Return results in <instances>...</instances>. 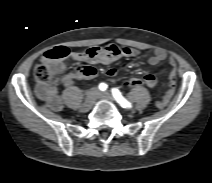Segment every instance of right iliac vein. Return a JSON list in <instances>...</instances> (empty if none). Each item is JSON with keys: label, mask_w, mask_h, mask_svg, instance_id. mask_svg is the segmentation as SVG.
<instances>
[{"label": "right iliac vein", "mask_w": 212, "mask_h": 183, "mask_svg": "<svg viewBox=\"0 0 212 183\" xmlns=\"http://www.w3.org/2000/svg\"><path fill=\"white\" fill-rule=\"evenodd\" d=\"M99 97V91L97 89H91L86 95V98L81 106L82 111H87L89 110Z\"/></svg>", "instance_id": "right-iliac-vein-1"}]
</instances>
